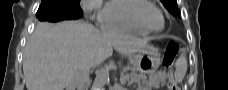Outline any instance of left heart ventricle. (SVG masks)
<instances>
[{
    "instance_id": "1",
    "label": "left heart ventricle",
    "mask_w": 228,
    "mask_h": 90,
    "mask_svg": "<svg viewBox=\"0 0 228 90\" xmlns=\"http://www.w3.org/2000/svg\"><path fill=\"white\" fill-rule=\"evenodd\" d=\"M144 19L147 25L153 29H159L162 26V19L159 13L153 8H147L145 10Z\"/></svg>"
}]
</instances>
